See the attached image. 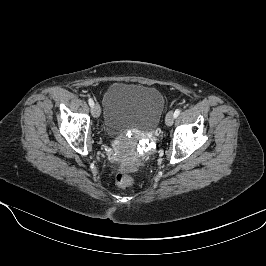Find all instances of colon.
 <instances>
[{
  "label": "colon",
  "instance_id": "1",
  "mask_svg": "<svg viewBox=\"0 0 266 266\" xmlns=\"http://www.w3.org/2000/svg\"><path fill=\"white\" fill-rule=\"evenodd\" d=\"M116 184L122 188L131 187L134 183L133 178L127 172H119L115 177Z\"/></svg>",
  "mask_w": 266,
  "mask_h": 266
}]
</instances>
